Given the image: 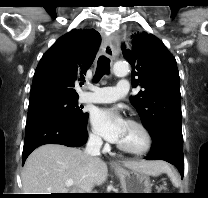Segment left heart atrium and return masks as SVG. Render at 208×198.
Returning a JSON list of instances; mask_svg holds the SVG:
<instances>
[{
  "label": "left heart atrium",
  "instance_id": "obj_1",
  "mask_svg": "<svg viewBox=\"0 0 208 198\" xmlns=\"http://www.w3.org/2000/svg\"><path fill=\"white\" fill-rule=\"evenodd\" d=\"M94 129L110 142H118L127 121L116 109H95L91 115Z\"/></svg>",
  "mask_w": 208,
  "mask_h": 198
}]
</instances>
